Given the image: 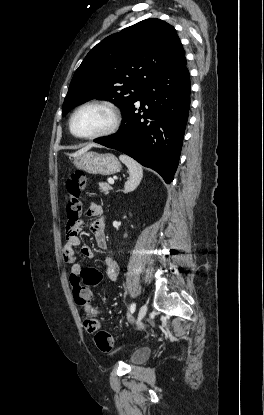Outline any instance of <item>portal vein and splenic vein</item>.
Segmentation results:
<instances>
[{"instance_id":"portal-vein-and-splenic-vein-1","label":"portal vein and splenic vein","mask_w":264,"mask_h":415,"mask_svg":"<svg viewBox=\"0 0 264 415\" xmlns=\"http://www.w3.org/2000/svg\"><path fill=\"white\" fill-rule=\"evenodd\" d=\"M108 182H109L110 184H114V180H113V179H109V180H108Z\"/></svg>"}]
</instances>
